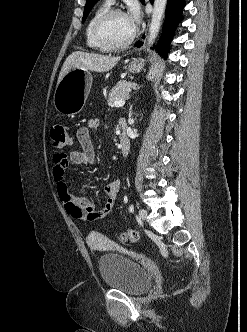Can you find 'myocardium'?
Masks as SVG:
<instances>
[{
    "mask_svg": "<svg viewBox=\"0 0 247 332\" xmlns=\"http://www.w3.org/2000/svg\"><path fill=\"white\" fill-rule=\"evenodd\" d=\"M116 14H125V13L120 8H109L107 11H105L97 18V20L93 25L92 32L95 40L99 45H101L106 50H111V51L122 50L128 47L133 42V40L137 35V30L136 28H134L131 35L124 42L119 44L109 43L103 35V28L105 24L109 21V19Z\"/></svg>",
    "mask_w": 247,
    "mask_h": 332,
    "instance_id": "1",
    "label": "myocardium"
}]
</instances>
